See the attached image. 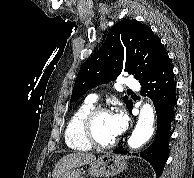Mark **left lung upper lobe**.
<instances>
[{"label": "left lung upper lobe", "mask_w": 194, "mask_h": 178, "mask_svg": "<svg viewBox=\"0 0 194 178\" xmlns=\"http://www.w3.org/2000/svg\"><path fill=\"white\" fill-rule=\"evenodd\" d=\"M167 56L150 27L136 20H123L110 29L101 48L81 66L70 102L98 85L115 80L123 71L140 82ZM124 101L129 108L132 102L127 96Z\"/></svg>", "instance_id": "5c2ea615"}]
</instances>
